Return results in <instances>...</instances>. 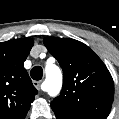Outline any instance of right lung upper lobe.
Instances as JSON below:
<instances>
[{
  "label": "right lung upper lobe",
  "instance_id": "obj_1",
  "mask_svg": "<svg viewBox=\"0 0 119 119\" xmlns=\"http://www.w3.org/2000/svg\"><path fill=\"white\" fill-rule=\"evenodd\" d=\"M31 38L0 43V119H24L38 93L23 66Z\"/></svg>",
  "mask_w": 119,
  "mask_h": 119
}]
</instances>
